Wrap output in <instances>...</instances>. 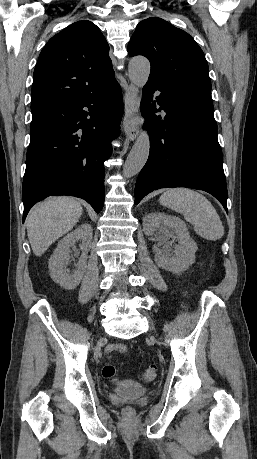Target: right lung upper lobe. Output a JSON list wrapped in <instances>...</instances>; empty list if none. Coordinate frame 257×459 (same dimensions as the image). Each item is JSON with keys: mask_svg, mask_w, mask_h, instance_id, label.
Here are the masks:
<instances>
[{"mask_svg": "<svg viewBox=\"0 0 257 459\" xmlns=\"http://www.w3.org/2000/svg\"><path fill=\"white\" fill-rule=\"evenodd\" d=\"M109 45L98 26L78 21L52 37L36 64L31 111L80 99L115 82Z\"/></svg>", "mask_w": 257, "mask_h": 459, "instance_id": "obj_1", "label": "right lung upper lobe"}]
</instances>
